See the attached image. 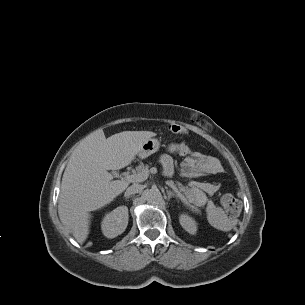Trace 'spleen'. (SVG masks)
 <instances>
[{
    "instance_id": "1",
    "label": "spleen",
    "mask_w": 305,
    "mask_h": 305,
    "mask_svg": "<svg viewBox=\"0 0 305 305\" xmlns=\"http://www.w3.org/2000/svg\"><path fill=\"white\" fill-rule=\"evenodd\" d=\"M220 216V220L219 222L217 223V227L219 229H222V230H227L225 224L222 222L223 221V211L221 209H215L213 210V216Z\"/></svg>"
}]
</instances>
